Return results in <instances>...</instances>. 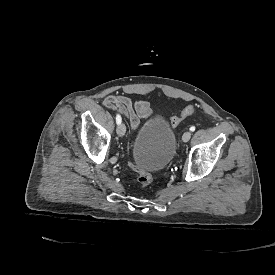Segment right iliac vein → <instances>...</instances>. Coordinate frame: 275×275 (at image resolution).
<instances>
[{
	"instance_id": "right-iliac-vein-1",
	"label": "right iliac vein",
	"mask_w": 275,
	"mask_h": 275,
	"mask_svg": "<svg viewBox=\"0 0 275 275\" xmlns=\"http://www.w3.org/2000/svg\"><path fill=\"white\" fill-rule=\"evenodd\" d=\"M125 132H126L125 125L123 123H120L117 127L118 136L123 137L125 135Z\"/></svg>"
}]
</instances>
